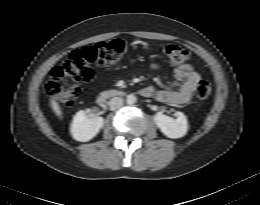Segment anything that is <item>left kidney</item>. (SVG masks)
<instances>
[{
    "instance_id": "left-kidney-1",
    "label": "left kidney",
    "mask_w": 260,
    "mask_h": 205,
    "mask_svg": "<svg viewBox=\"0 0 260 205\" xmlns=\"http://www.w3.org/2000/svg\"><path fill=\"white\" fill-rule=\"evenodd\" d=\"M176 118H171L158 112L154 116V121L161 132L168 138L177 139L186 135L188 130V122L186 116L182 112L175 113Z\"/></svg>"
}]
</instances>
